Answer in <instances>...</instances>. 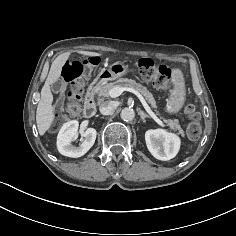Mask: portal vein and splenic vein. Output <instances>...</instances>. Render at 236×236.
Returning a JSON list of instances; mask_svg holds the SVG:
<instances>
[{
	"instance_id": "18ae733b",
	"label": "portal vein and splenic vein",
	"mask_w": 236,
	"mask_h": 236,
	"mask_svg": "<svg viewBox=\"0 0 236 236\" xmlns=\"http://www.w3.org/2000/svg\"><path fill=\"white\" fill-rule=\"evenodd\" d=\"M123 91H129L134 93L139 100L141 101L142 105L144 106L145 110L147 111V113L162 127H164L163 122L154 114V112L151 110V108L148 106V104L146 103L145 99L143 98V96L135 89L133 88H124V87H114L112 89H110L108 91V95L111 98H116L118 96H120Z\"/></svg>"
}]
</instances>
